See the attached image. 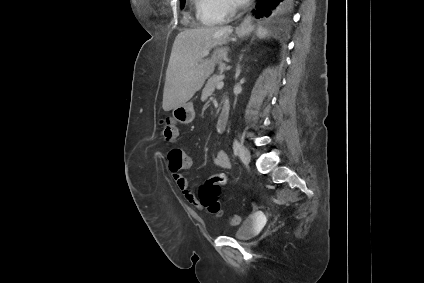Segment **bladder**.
Returning a JSON list of instances; mask_svg holds the SVG:
<instances>
[{"label": "bladder", "instance_id": "bladder-1", "mask_svg": "<svg viewBox=\"0 0 424 283\" xmlns=\"http://www.w3.org/2000/svg\"><path fill=\"white\" fill-rule=\"evenodd\" d=\"M260 229L261 223L259 219L255 216H249L235 231L233 237L237 240H249L257 235Z\"/></svg>", "mask_w": 424, "mask_h": 283}]
</instances>
